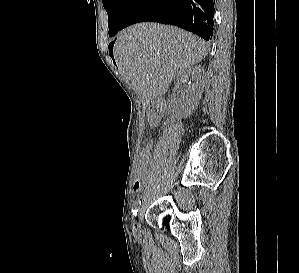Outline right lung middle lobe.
<instances>
[{
  "instance_id": "1",
  "label": "right lung middle lobe",
  "mask_w": 299,
  "mask_h": 273,
  "mask_svg": "<svg viewBox=\"0 0 299 273\" xmlns=\"http://www.w3.org/2000/svg\"><path fill=\"white\" fill-rule=\"evenodd\" d=\"M134 0H103L108 14L109 35L115 36L119 31L123 18Z\"/></svg>"
}]
</instances>
